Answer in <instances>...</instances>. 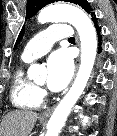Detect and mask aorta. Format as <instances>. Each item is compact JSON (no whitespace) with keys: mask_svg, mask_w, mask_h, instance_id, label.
Segmentation results:
<instances>
[{"mask_svg":"<svg viewBox=\"0 0 117 136\" xmlns=\"http://www.w3.org/2000/svg\"><path fill=\"white\" fill-rule=\"evenodd\" d=\"M38 22H68L78 31L81 41V63L76 79L68 93L55 108L47 125L46 136H58L65 121L91 76L97 53V34L91 19L82 10L66 5L56 4L45 7L38 15ZM44 68L39 64H32L28 69V76H37Z\"/></svg>","mask_w":117,"mask_h":136,"instance_id":"762f6f07","label":"aorta"}]
</instances>
